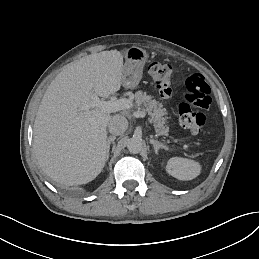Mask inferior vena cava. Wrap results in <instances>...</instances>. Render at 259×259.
<instances>
[{"label": "inferior vena cava", "mask_w": 259, "mask_h": 259, "mask_svg": "<svg viewBox=\"0 0 259 259\" xmlns=\"http://www.w3.org/2000/svg\"><path fill=\"white\" fill-rule=\"evenodd\" d=\"M128 128V120L122 115H115L108 124L110 134L117 136L122 135Z\"/></svg>", "instance_id": "602c4592"}]
</instances>
